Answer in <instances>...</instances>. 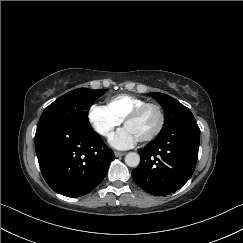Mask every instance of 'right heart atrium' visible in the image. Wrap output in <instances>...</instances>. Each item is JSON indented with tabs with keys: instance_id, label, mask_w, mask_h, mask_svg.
<instances>
[{
	"instance_id": "right-heart-atrium-1",
	"label": "right heart atrium",
	"mask_w": 243,
	"mask_h": 243,
	"mask_svg": "<svg viewBox=\"0 0 243 243\" xmlns=\"http://www.w3.org/2000/svg\"><path fill=\"white\" fill-rule=\"evenodd\" d=\"M87 118L91 127L103 137H109L122 122L107 106L99 104L90 106Z\"/></svg>"
}]
</instances>
